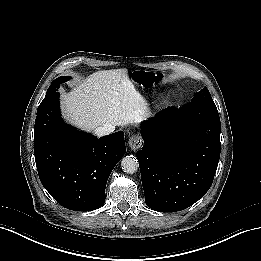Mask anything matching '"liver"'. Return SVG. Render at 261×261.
<instances>
[{"instance_id":"1","label":"liver","mask_w":261,"mask_h":261,"mask_svg":"<svg viewBox=\"0 0 261 261\" xmlns=\"http://www.w3.org/2000/svg\"><path fill=\"white\" fill-rule=\"evenodd\" d=\"M121 72L97 71L64 93L61 109L66 121L87 132L105 124H138L144 115L143 100L126 93L118 81Z\"/></svg>"}]
</instances>
